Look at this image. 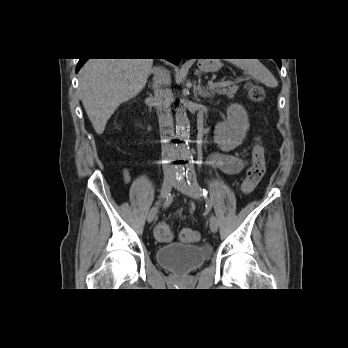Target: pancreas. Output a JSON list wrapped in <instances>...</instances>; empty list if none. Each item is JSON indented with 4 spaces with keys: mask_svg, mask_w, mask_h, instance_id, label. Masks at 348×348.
Segmentation results:
<instances>
[{
    "mask_svg": "<svg viewBox=\"0 0 348 348\" xmlns=\"http://www.w3.org/2000/svg\"><path fill=\"white\" fill-rule=\"evenodd\" d=\"M238 88L239 87L234 82H231L228 86L211 87L210 90L212 95L219 94V95H225L229 98H232L237 93Z\"/></svg>",
    "mask_w": 348,
    "mask_h": 348,
    "instance_id": "1",
    "label": "pancreas"
}]
</instances>
